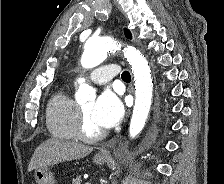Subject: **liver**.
<instances>
[{
  "label": "liver",
  "mask_w": 224,
  "mask_h": 184,
  "mask_svg": "<svg viewBox=\"0 0 224 184\" xmlns=\"http://www.w3.org/2000/svg\"><path fill=\"white\" fill-rule=\"evenodd\" d=\"M92 151V147L79 143L55 138L48 139L41 143L35 150L28 165V172L40 167L80 159L89 155Z\"/></svg>",
  "instance_id": "liver-1"
}]
</instances>
